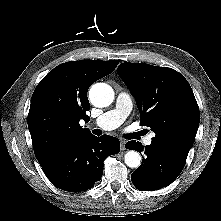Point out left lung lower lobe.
Masks as SVG:
<instances>
[{"instance_id":"1","label":"left lung lower lobe","mask_w":221,"mask_h":221,"mask_svg":"<svg viewBox=\"0 0 221 221\" xmlns=\"http://www.w3.org/2000/svg\"><path fill=\"white\" fill-rule=\"evenodd\" d=\"M127 149L146 155L142 164L132 173L131 179L138 190L153 191L170 185L181 173L186 158L178 156L167 147L153 143L142 146L140 142L129 141Z\"/></svg>"}]
</instances>
